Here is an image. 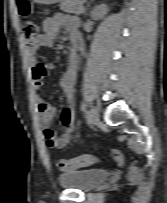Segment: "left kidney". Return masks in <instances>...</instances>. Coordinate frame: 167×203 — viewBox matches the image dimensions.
<instances>
[{
	"label": "left kidney",
	"instance_id": "5707ae66",
	"mask_svg": "<svg viewBox=\"0 0 167 203\" xmlns=\"http://www.w3.org/2000/svg\"><path fill=\"white\" fill-rule=\"evenodd\" d=\"M107 11H108V8L106 5L96 6L91 12V17L94 20H99L104 17Z\"/></svg>",
	"mask_w": 167,
	"mask_h": 203
}]
</instances>
